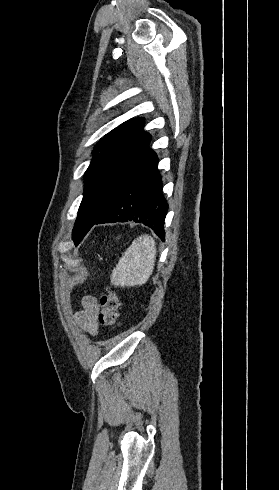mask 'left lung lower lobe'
Instances as JSON below:
<instances>
[{
  "label": "left lung lower lobe",
  "mask_w": 279,
  "mask_h": 490,
  "mask_svg": "<svg viewBox=\"0 0 279 490\" xmlns=\"http://www.w3.org/2000/svg\"><path fill=\"white\" fill-rule=\"evenodd\" d=\"M157 165V155L147 150L120 188L110 210L95 224L135 221L152 228L164 241L168 204L162 195Z\"/></svg>",
  "instance_id": "obj_1"
}]
</instances>
